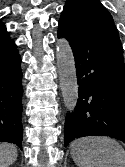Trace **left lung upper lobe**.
Returning <instances> with one entry per match:
<instances>
[{"instance_id":"left-lung-upper-lobe-1","label":"left lung upper lobe","mask_w":125,"mask_h":167,"mask_svg":"<svg viewBox=\"0 0 125 167\" xmlns=\"http://www.w3.org/2000/svg\"><path fill=\"white\" fill-rule=\"evenodd\" d=\"M59 22L72 28H115L111 14L99 0H67Z\"/></svg>"}]
</instances>
